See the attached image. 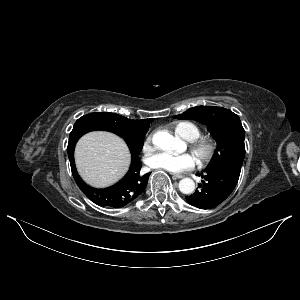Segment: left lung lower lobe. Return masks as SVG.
I'll return each instance as SVG.
<instances>
[{
  "instance_id": "left-lung-lower-lobe-1",
  "label": "left lung lower lobe",
  "mask_w": 300,
  "mask_h": 300,
  "mask_svg": "<svg viewBox=\"0 0 300 300\" xmlns=\"http://www.w3.org/2000/svg\"><path fill=\"white\" fill-rule=\"evenodd\" d=\"M241 166L223 163L197 173L205 179L199 185L200 190L186 197L189 204L200 209H211L221 204L234 190Z\"/></svg>"
}]
</instances>
